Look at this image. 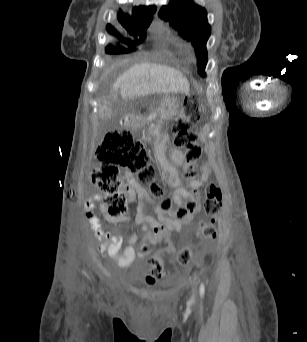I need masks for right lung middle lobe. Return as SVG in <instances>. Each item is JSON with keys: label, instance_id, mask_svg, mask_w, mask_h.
<instances>
[{"label": "right lung middle lobe", "instance_id": "right-lung-middle-lobe-1", "mask_svg": "<svg viewBox=\"0 0 307 342\" xmlns=\"http://www.w3.org/2000/svg\"><path fill=\"white\" fill-rule=\"evenodd\" d=\"M141 36L144 37L145 35H141ZM120 40L127 43L131 48H133L136 44L139 43V41L131 42V41L123 39L122 37H120ZM129 51H131V50H127V49H123V48H117V47H114L112 45H109L108 47H106V53H110V54L127 53Z\"/></svg>", "mask_w": 307, "mask_h": 342}]
</instances>
